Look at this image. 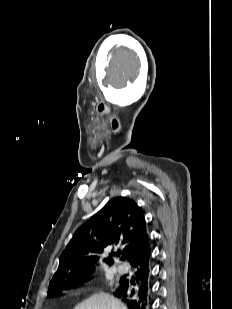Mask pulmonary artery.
<instances>
[{"instance_id":"e3ab8cb5","label":"pulmonary artery","mask_w":232,"mask_h":309,"mask_svg":"<svg viewBox=\"0 0 232 309\" xmlns=\"http://www.w3.org/2000/svg\"><path fill=\"white\" fill-rule=\"evenodd\" d=\"M116 271L118 272V273H126L127 272V267H125L124 265H119V266H117L116 267Z\"/></svg>"}]
</instances>
